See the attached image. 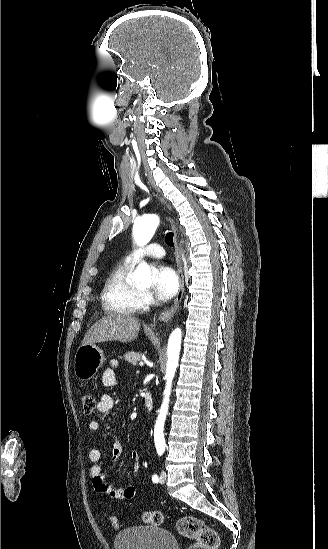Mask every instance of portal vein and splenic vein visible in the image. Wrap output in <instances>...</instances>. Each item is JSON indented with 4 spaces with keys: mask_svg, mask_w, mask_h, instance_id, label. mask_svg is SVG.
Listing matches in <instances>:
<instances>
[{
    "mask_svg": "<svg viewBox=\"0 0 328 549\" xmlns=\"http://www.w3.org/2000/svg\"><path fill=\"white\" fill-rule=\"evenodd\" d=\"M139 365H140V367H143L142 361H139Z\"/></svg>",
    "mask_w": 328,
    "mask_h": 549,
    "instance_id": "obj_1",
    "label": "portal vein and splenic vein"
}]
</instances>
